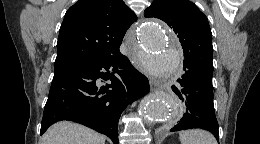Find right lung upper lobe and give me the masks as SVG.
I'll use <instances>...</instances> for the list:
<instances>
[{"mask_svg":"<svg viewBox=\"0 0 260 144\" xmlns=\"http://www.w3.org/2000/svg\"><path fill=\"white\" fill-rule=\"evenodd\" d=\"M136 20L123 0H79L61 25L54 71L118 53Z\"/></svg>","mask_w":260,"mask_h":144,"instance_id":"cb5924a9","label":"right lung upper lobe"}]
</instances>
